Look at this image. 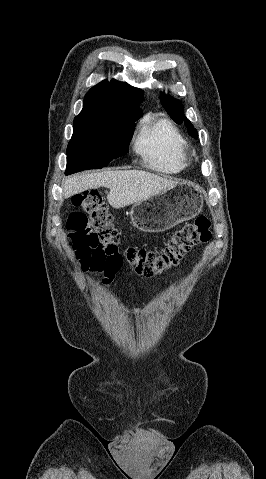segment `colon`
<instances>
[{"instance_id":"colon-1","label":"colon","mask_w":266,"mask_h":479,"mask_svg":"<svg viewBox=\"0 0 266 479\" xmlns=\"http://www.w3.org/2000/svg\"><path fill=\"white\" fill-rule=\"evenodd\" d=\"M77 210L66 220L79 268L85 273L100 274V282L111 285L126 263L129 269L142 276L163 274L178 265L194 246L212 238L210 220L199 216L176 230L161 251L122 247L118 230L103 198L97 190L73 197Z\"/></svg>"}]
</instances>
